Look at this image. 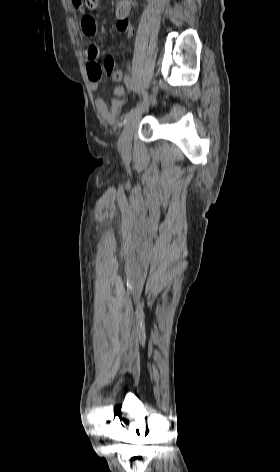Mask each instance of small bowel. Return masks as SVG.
I'll list each match as a JSON object with an SVG mask.
<instances>
[{"mask_svg":"<svg viewBox=\"0 0 280 472\" xmlns=\"http://www.w3.org/2000/svg\"><path fill=\"white\" fill-rule=\"evenodd\" d=\"M72 0L75 8L82 13L80 21L81 29L84 35L93 37L97 33V24L94 18L86 12L85 6L80 2ZM131 12V4L129 0H119L115 7L116 15V28L119 32L125 33L129 37L133 36L134 30L131 26L128 17ZM100 49L96 45H90L86 51L87 57V73L90 80V86L92 90L98 88L101 75L102 67L99 64ZM106 59H112L108 56ZM116 98L112 99L108 104L103 98H97L95 100L96 108L99 114L108 122H114L119 114V111L123 107L125 101L122 97L125 95V88L123 86H117L114 90Z\"/></svg>","mask_w":280,"mask_h":472,"instance_id":"1","label":"small bowel"}]
</instances>
